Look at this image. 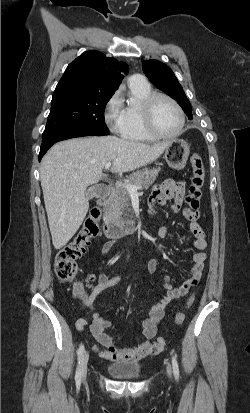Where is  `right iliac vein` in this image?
<instances>
[{"label": "right iliac vein", "mask_w": 250, "mask_h": 413, "mask_svg": "<svg viewBox=\"0 0 250 413\" xmlns=\"http://www.w3.org/2000/svg\"><path fill=\"white\" fill-rule=\"evenodd\" d=\"M88 359H89L88 352H84V354L82 355L81 364H80V371H81V378L82 379H85L86 374H87Z\"/></svg>", "instance_id": "obj_1"}]
</instances>
